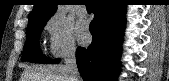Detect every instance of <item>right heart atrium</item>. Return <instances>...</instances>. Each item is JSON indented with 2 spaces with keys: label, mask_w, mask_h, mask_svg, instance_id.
<instances>
[{
  "label": "right heart atrium",
  "mask_w": 169,
  "mask_h": 81,
  "mask_svg": "<svg viewBox=\"0 0 169 81\" xmlns=\"http://www.w3.org/2000/svg\"><path fill=\"white\" fill-rule=\"evenodd\" d=\"M48 34V50L54 58H64L73 55L76 49L71 24L63 17L54 14L45 24Z\"/></svg>",
  "instance_id": "obj_1"
}]
</instances>
